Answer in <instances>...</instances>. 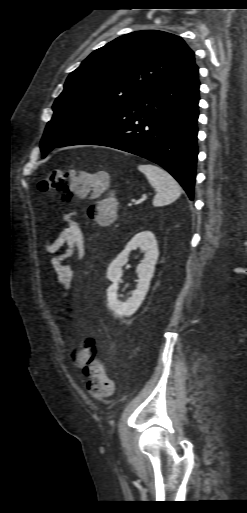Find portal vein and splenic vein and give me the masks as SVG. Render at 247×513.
I'll list each match as a JSON object with an SVG mask.
<instances>
[{"mask_svg": "<svg viewBox=\"0 0 247 513\" xmlns=\"http://www.w3.org/2000/svg\"><path fill=\"white\" fill-rule=\"evenodd\" d=\"M145 199H146L145 197L141 198L140 200H138V201L136 202V204H140V203L144 202V201H145ZM129 205L131 206V205H132V203H130Z\"/></svg>", "mask_w": 247, "mask_h": 513, "instance_id": "1", "label": "portal vein and splenic vein"}]
</instances>
